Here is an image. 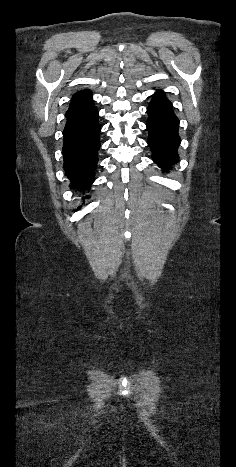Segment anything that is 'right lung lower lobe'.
<instances>
[{
    "label": "right lung lower lobe",
    "mask_w": 236,
    "mask_h": 467,
    "mask_svg": "<svg viewBox=\"0 0 236 467\" xmlns=\"http://www.w3.org/2000/svg\"><path fill=\"white\" fill-rule=\"evenodd\" d=\"M67 122L63 131L64 170L71 180L72 188L88 191L94 181L97 152L100 148L98 111L89 100L66 113ZM85 198H89L86 196ZM78 207L77 210H79Z\"/></svg>",
    "instance_id": "98d812e1"
}]
</instances>
